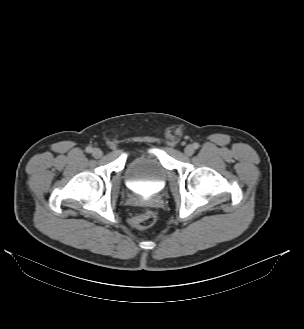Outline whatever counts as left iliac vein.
<instances>
[{"mask_svg": "<svg viewBox=\"0 0 304 329\" xmlns=\"http://www.w3.org/2000/svg\"><path fill=\"white\" fill-rule=\"evenodd\" d=\"M194 147H193V145H187L186 147H185V150H184V152H185V154L187 155V156H191V155H193V153H194Z\"/></svg>", "mask_w": 304, "mask_h": 329, "instance_id": "left-iliac-vein-1", "label": "left iliac vein"}]
</instances>
